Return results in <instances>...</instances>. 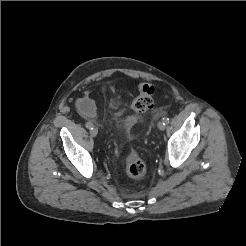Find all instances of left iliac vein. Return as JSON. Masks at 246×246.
I'll return each mask as SVG.
<instances>
[{"label": "left iliac vein", "mask_w": 246, "mask_h": 246, "mask_svg": "<svg viewBox=\"0 0 246 246\" xmlns=\"http://www.w3.org/2000/svg\"><path fill=\"white\" fill-rule=\"evenodd\" d=\"M158 128L161 131H164L165 130L166 126L164 125V122L163 121L158 122Z\"/></svg>", "instance_id": "1"}]
</instances>
